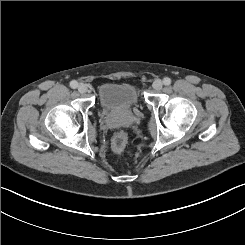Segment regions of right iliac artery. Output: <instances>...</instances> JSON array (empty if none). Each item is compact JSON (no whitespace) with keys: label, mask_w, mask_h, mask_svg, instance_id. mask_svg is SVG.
I'll return each mask as SVG.
<instances>
[{"label":"right iliac artery","mask_w":245,"mask_h":245,"mask_svg":"<svg viewBox=\"0 0 245 245\" xmlns=\"http://www.w3.org/2000/svg\"><path fill=\"white\" fill-rule=\"evenodd\" d=\"M77 86H78L77 81L73 80V81L70 82V87L71 88L75 89V88H77Z\"/></svg>","instance_id":"1"}]
</instances>
